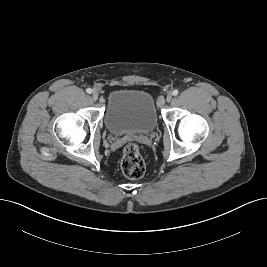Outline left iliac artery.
<instances>
[{
    "instance_id": "44dca946",
    "label": "left iliac artery",
    "mask_w": 267,
    "mask_h": 267,
    "mask_svg": "<svg viewBox=\"0 0 267 267\" xmlns=\"http://www.w3.org/2000/svg\"><path fill=\"white\" fill-rule=\"evenodd\" d=\"M178 90L177 89H175V90H173V92H172V94L174 95V96H176V95H178Z\"/></svg>"
}]
</instances>
